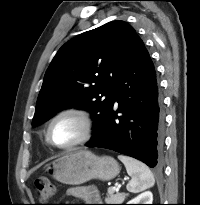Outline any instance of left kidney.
<instances>
[{"mask_svg":"<svg viewBox=\"0 0 200 205\" xmlns=\"http://www.w3.org/2000/svg\"><path fill=\"white\" fill-rule=\"evenodd\" d=\"M153 194L150 191L139 194L134 199L130 200L127 204H152Z\"/></svg>","mask_w":200,"mask_h":205,"instance_id":"left-kidney-1","label":"left kidney"}]
</instances>
